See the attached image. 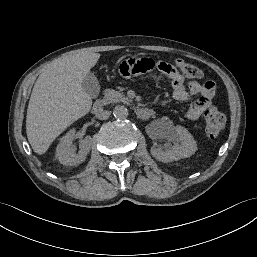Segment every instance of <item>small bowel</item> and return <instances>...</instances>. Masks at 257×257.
Listing matches in <instances>:
<instances>
[{
    "mask_svg": "<svg viewBox=\"0 0 257 257\" xmlns=\"http://www.w3.org/2000/svg\"><path fill=\"white\" fill-rule=\"evenodd\" d=\"M118 74L127 81H134L139 76L143 78L162 77L172 84V96L175 100L186 101L198 96L185 112L188 120H197L210 106L215 94L213 82L198 84L194 78L185 80L184 74L172 67L169 61L155 62L146 55H139L135 59L124 58L117 65Z\"/></svg>",
    "mask_w": 257,
    "mask_h": 257,
    "instance_id": "1",
    "label": "small bowel"
}]
</instances>
